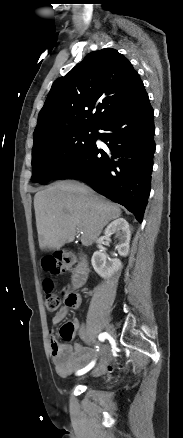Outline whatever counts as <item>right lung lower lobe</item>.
I'll list each match as a JSON object with an SVG mask.
<instances>
[{
    "instance_id": "98d812e1",
    "label": "right lung lower lobe",
    "mask_w": 183,
    "mask_h": 438,
    "mask_svg": "<svg viewBox=\"0 0 183 438\" xmlns=\"http://www.w3.org/2000/svg\"><path fill=\"white\" fill-rule=\"evenodd\" d=\"M154 110L146 93L122 107L97 130L95 140L63 168L57 178L73 177L126 207L139 222L148 202L155 142ZM101 139L108 149L96 145Z\"/></svg>"
}]
</instances>
